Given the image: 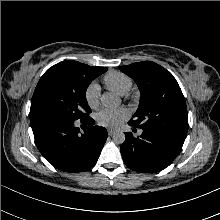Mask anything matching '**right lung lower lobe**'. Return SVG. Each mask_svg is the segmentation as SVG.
I'll use <instances>...</instances> for the list:
<instances>
[{"label":"right lung lower lobe","instance_id":"98d812e1","mask_svg":"<svg viewBox=\"0 0 220 220\" xmlns=\"http://www.w3.org/2000/svg\"><path fill=\"white\" fill-rule=\"evenodd\" d=\"M81 122L88 125L82 134L75 127V121L45 112H30L36 145L55 168L65 172H82L96 164L106 142L107 131L94 125L91 117Z\"/></svg>","mask_w":220,"mask_h":220}]
</instances>
